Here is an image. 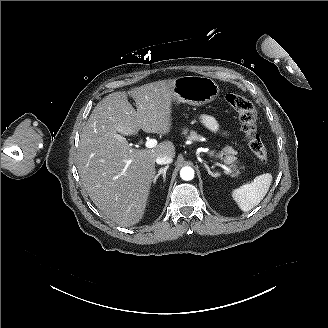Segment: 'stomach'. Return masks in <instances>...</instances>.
Masks as SVG:
<instances>
[{
  "instance_id": "0dacf381",
  "label": "stomach",
  "mask_w": 328,
  "mask_h": 328,
  "mask_svg": "<svg viewBox=\"0 0 328 328\" xmlns=\"http://www.w3.org/2000/svg\"><path fill=\"white\" fill-rule=\"evenodd\" d=\"M172 91L178 103L201 106L215 100L220 89L210 77L182 76L174 79Z\"/></svg>"
}]
</instances>
